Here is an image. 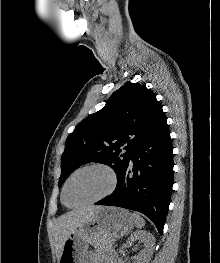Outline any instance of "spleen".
Listing matches in <instances>:
<instances>
[{"label":"spleen","mask_w":220,"mask_h":263,"mask_svg":"<svg viewBox=\"0 0 220 263\" xmlns=\"http://www.w3.org/2000/svg\"><path fill=\"white\" fill-rule=\"evenodd\" d=\"M134 221L137 228H142L145 225L144 219L136 213H133Z\"/></svg>","instance_id":"spleen-1"}]
</instances>
